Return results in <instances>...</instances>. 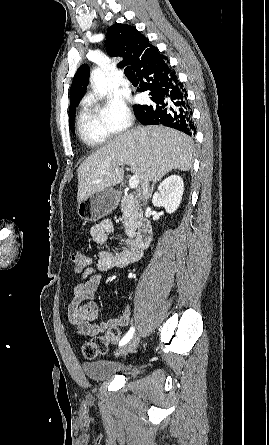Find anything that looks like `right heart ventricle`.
<instances>
[{
    "mask_svg": "<svg viewBox=\"0 0 269 445\" xmlns=\"http://www.w3.org/2000/svg\"><path fill=\"white\" fill-rule=\"evenodd\" d=\"M77 131L81 141L90 147L105 143L110 136L96 115L85 105L78 113Z\"/></svg>",
    "mask_w": 269,
    "mask_h": 445,
    "instance_id": "e07e8e85",
    "label": "right heart ventricle"
}]
</instances>
